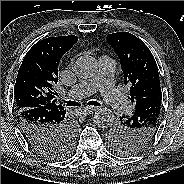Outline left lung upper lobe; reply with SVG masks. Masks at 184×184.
<instances>
[{
	"mask_svg": "<svg viewBox=\"0 0 184 184\" xmlns=\"http://www.w3.org/2000/svg\"><path fill=\"white\" fill-rule=\"evenodd\" d=\"M107 41L115 50L124 74V84H129L130 97L135 110L144 102L162 99L159 73L156 61L149 48L129 32L107 35ZM160 110L146 115L141 120L132 116H122L108 131L110 146L120 155H131L143 150L154 137Z\"/></svg>",
	"mask_w": 184,
	"mask_h": 184,
	"instance_id": "5c2ea615",
	"label": "left lung upper lobe"
}]
</instances>
